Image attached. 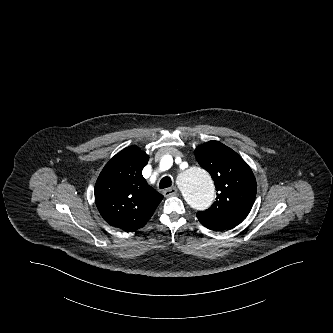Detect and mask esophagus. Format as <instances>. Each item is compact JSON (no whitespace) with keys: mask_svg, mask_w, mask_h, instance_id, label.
Listing matches in <instances>:
<instances>
[{"mask_svg":"<svg viewBox=\"0 0 333 333\" xmlns=\"http://www.w3.org/2000/svg\"><path fill=\"white\" fill-rule=\"evenodd\" d=\"M178 190L175 186L167 188L163 191V194L165 197L175 196L177 194Z\"/></svg>","mask_w":333,"mask_h":333,"instance_id":"1","label":"esophagus"}]
</instances>
